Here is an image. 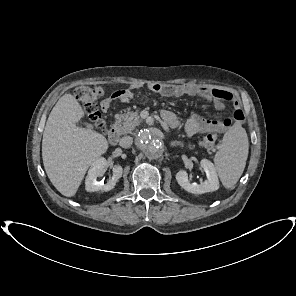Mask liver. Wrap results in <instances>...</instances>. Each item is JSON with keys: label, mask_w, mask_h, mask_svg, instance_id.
<instances>
[{"label": "liver", "mask_w": 296, "mask_h": 296, "mask_svg": "<svg viewBox=\"0 0 296 296\" xmlns=\"http://www.w3.org/2000/svg\"><path fill=\"white\" fill-rule=\"evenodd\" d=\"M84 116L77 99L64 94L53 107L43 133L45 171L66 197L76 194L89 166L109 147L104 135L76 125Z\"/></svg>", "instance_id": "6515ba94"}]
</instances>
